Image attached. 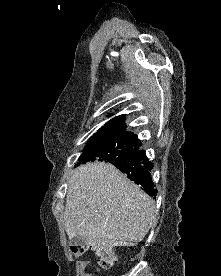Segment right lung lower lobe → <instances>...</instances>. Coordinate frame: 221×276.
Returning a JSON list of instances; mask_svg holds the SVG:
<instances>
[{"label":"right lung lower lobe","instance_id":"1","mask_svg":"<svg viewBox=\"0 0 221 276\" xmlns=\"http://www.w3.org/2000/svg\"><path fill=\"white\" fill-rule=\"evenodd\" d=\"M127 177L140 185L150 196L157 195V189L152 181L151 170L153 164L146 157L144 150H136L125 159H118L112 162Z\"/></svg>","mask_w":221,"mask_h":276}]
</instances>
